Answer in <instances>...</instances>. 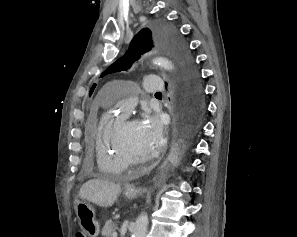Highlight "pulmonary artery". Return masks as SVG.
Returning a JSON list of instances; mask_svg holds the SVG:
<instances>
[{
  "mask_svg": "<svg viewBox=\"0 0 297 237\" xmlns=\"http://www.w3.org/2000/svg\"><path fill=\"white\" fill-rule=\"evenodd\" d=\"M143 90L146 93H154L163 90V84L158 76L146 77L143 81ZM137 90L132 89L131 86H125L119 91L117 100H115L117 107L123 115H127L137 102Z\"/></svg>",
  "mask_w": 297,
  "mask_h": 237,
  "instance_id": "obj_1",
  "label": "pulmonary artery"
}]
</instances>
